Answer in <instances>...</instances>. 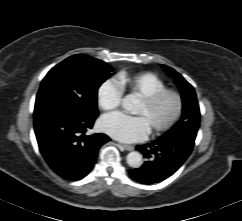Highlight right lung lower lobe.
<instances>
[{
    "instance_id": "98d812e1",
    "label": "right lung lower lobe",
    "mask_w": 242,
    "mask_h": 221,
    "mask_svg": "<svg viewBox=\"0 0 242 221\" xmlns=\"http://www.w3.org/2000/svg\"><path fill=\"white\" fill-rule=\"evenodd\" d=\"M97 116L82 118L62 112L34 116L40 151L62 178L70 181L84 178L93 168L100 147L110 140L105 134L86 135Z\"/></svg>"
}]
</instances>
